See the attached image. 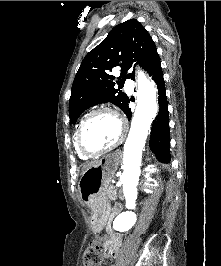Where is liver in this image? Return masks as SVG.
Wrapping results in <instances>:
<instances>
[{
  "label": "liver",
  "mask_w": 221,
  "mask_h": 266,
  "mask_svg": "<svg viewBox=\"0 0 221 266\" xmlns=\"http://www.w3.org/2000/svg\"><path fill=\"white\" fill-rule=\"evenodd\" d=\"M98 163V161H93V162H90V163H87L84 167H83V170H82V173H81V175L88 169V168H90L91 166H93V165H95V164H97Z\"/></svg>",
  "instance_id": "6515ba94"
}]
</instances>
